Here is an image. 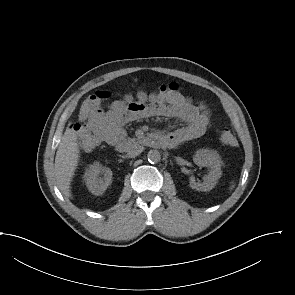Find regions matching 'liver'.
Returning <instances> with one entry per match:
<instances>
[{"mask_svg":"<svg viewBox=\"0 0 295 295\" xmlns=\"http://www.w3.org/2000/svg\"><path fill=\"white\" fill-rule=\"evenodd\" d=\"M80 150L75 132L67 128L59 144L55 157V175L57 186L62 194L71 196L70 185L77 168Z\"/></svg>","mask_w":295,"mask_h":295,"instance_id":"1","label":"liver"}]
</instances>
